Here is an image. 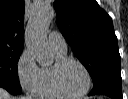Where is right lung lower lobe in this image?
<instances>
[{
  "label": "right lung lower lobe",
  "mask_w": 128,
  "mask_h": 99,
  "mask_svg": "<svg viewBox=\"0 0 128 99\" xmlns=\"http://www.w3.org/2000/svg\"><path fill=\"white\" fill-rule=\"evenodd\" d=\"M0 87L6 89L11 94H20L21 93V90L16 89L11 85L5 84V83H2V82H0Z\"/></svg>",
  "instance_id": "right-lung-lower-lobe-1"
}]
</instances>
